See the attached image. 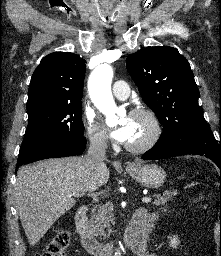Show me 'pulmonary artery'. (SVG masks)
<instances>
[{"label":"pulmonary artery","instance_id":"pulmonary-artery-1","mask_svg":"<svg viewBox=\"0 0 221 256\" xmlns=\"http://www.w3.org/2000/svg\"><path fill=\"white\" fill-rule=\"evenodd\" d=\"M112 91H113L114 96L120 100L127 99L129 96V93H130L128 84L122 80L116 81L113 84Z\"/></svg>","mask_w":221,"mask_h":256}]
</instances>
